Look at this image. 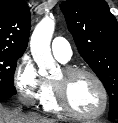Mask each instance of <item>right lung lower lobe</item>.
<instances>
[{
  "mask_svg": "<svg viewBox=\"0 0 118 123\" xmlns=\"http://www.w3.org/2000/svg\"><path fill=\"white\" fill-rule=\"evenodd\" d=\"M12 96H14V95L13 94H7V93H0V99H8Z\"/></svg>",
  "mask_w": 118,
  "mask_h": 123,
  "instance_id": "1",
  "label": "right lung lower lobe"
}]
</instances>
